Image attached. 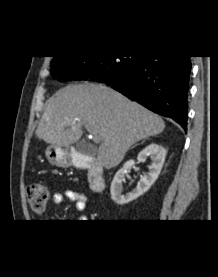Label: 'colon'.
<instances>
[{
    "instance_id": "1",
    "label": "colon",
    "mask_w": 218,
    "mask_h": 277,
    "mask_svg": "<svg viewBox=\"0 0 218 277\" xmlns=\"http://www.w3.org/2000/svg\"><path fill=\"white\" fill-rule=\"evenodd\" d=\"M49 197L50 191L43 184H31L27 189L28 203L35 212L41 213L45 210Z\"/></svg>"
}]
</instances>
